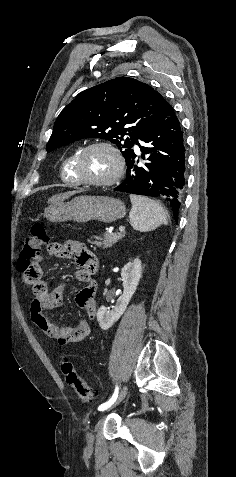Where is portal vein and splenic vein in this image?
I'll return each instance as SVG.
<instances>
[{"mask_svg":"<svg viewBox=\"0 0 236 477\" xmlns=\"http://www.w3.org/2000/svg\"><path fill=\"white\" fill-rule=\"evenodd\" d=\"M124 231H125V227H124V226H120V227H119V232L122 233V232H124Z\"/></svg>","mask_w":236,"mask_h":477,"instance_id":"portal-vein-and-splenic-vein-1","label":"portal vein and splenic vein"}]
</instances>
